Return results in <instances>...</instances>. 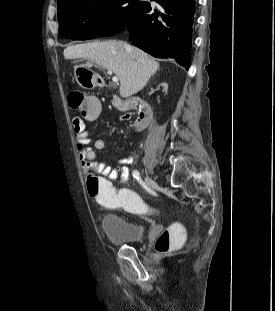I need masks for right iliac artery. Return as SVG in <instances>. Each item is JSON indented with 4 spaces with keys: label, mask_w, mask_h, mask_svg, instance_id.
<instances>
[{
    "label": "right iliac artery",
    "mask_w": 275,
    "mask_h": 311,
    "mask_svg": "<svg viewBox=\"0 0 275 311\" xmlns=\"http://www.w3.org/2000/svg\"><path fill=\"white\" fill-rule=\"evenodd\" d=\"M132 175H133V177H134L135 179H137L138 181H140V183H142L143 185H145V184L141 181V179H140V173H139L138 170H134V171L132 172Z\"/></svg>",
    "instance_id": "1"
}]
</instances>
